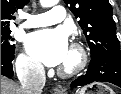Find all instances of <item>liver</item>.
Segmentation results:
<instances>
[{"instance_id":"1","label":"liver","mask_w":121,"mask_h":94,"mask_svg":"<svg viewBox=\"0 0 121 94\" xmlns=\"http://www.w3.org/2000/svg\"><path fill=\"white\" fill-rule=\"evenodd\" d=\"M1 94H21V90L15 82L1 76Z\"/></svg>"}]
</instances>
